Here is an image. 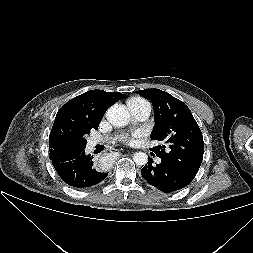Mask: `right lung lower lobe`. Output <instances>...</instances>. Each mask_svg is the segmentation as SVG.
<instances>
[{"label":"right lung lower lobe","instance_id":"98d812e1","mask_svg":"<svg viewBox=\"0 0 253 253\" xmlns=\"http://www.w3.org/2000/svg\"><path fill=\"white\" fill-rule=\"evenodd\" d=\"M92 156L85 151L73 153L68 157H50L60 178L69 186L87 188L103 181L108 173L100 172L93 163Z\"/></svg>","mask_w":253,"mask_h":253}]
</instances>
